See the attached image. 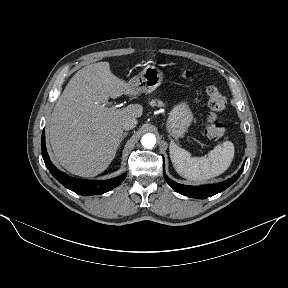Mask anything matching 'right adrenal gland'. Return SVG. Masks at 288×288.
<instances>
[{"label": "right adrenal gland", "mask_w": 288, "mask_h": 288, "mask_svg": "<svg viewBox=\"0 0 288 288\" xmlns=\"http://www.w3.org/2000/svg\"><path fill=\"white\" fill-rule=\"evenodd\" d=\"M128 132H124L121 139H120V142H119V145H118V149L120 148V145L122 143V141L124 140V138L127 136Z\"/></svg>", "instance_id": "right-adrenal-gland-1"}]
</instances>
